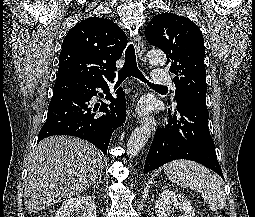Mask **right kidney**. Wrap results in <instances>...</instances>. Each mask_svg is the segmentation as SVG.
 Wrapping results in <instances>:
<instances>
[{"instance_id": "1", "label": "right kidney", "mask_w": 255, "mask_h": 217, "mask_svg": "<svg viewBox=\"0 0 255 217\" xmlns=\"http://www.w3.org/2000/svg\"><path fill=\"white\" fill-rule=\"evenodd\" d=\"M78 211H82L81 217H96V204L91 196L82 195L65 200L55 217H70V214Z\"/></svg>"}]
</instances>
